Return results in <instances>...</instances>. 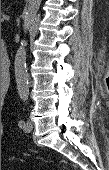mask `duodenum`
<instances>
[{
  "instance_id": "duodenum-1",
  "label": "duodenum",
  "mask_w": 109,
  "mask_h": 170,
  "mask_svg": "<svg viewBox=\"0 0 109 170\" xmlns=\"http://www.w3.org/2000/svg\"><path fill=\"white\" fill-rule=\"evenodd\" d=\"M2 61L5 67L8 66V56L6 54V52L3 50V55H2Z\"/></svg>"
}]
</instances>
